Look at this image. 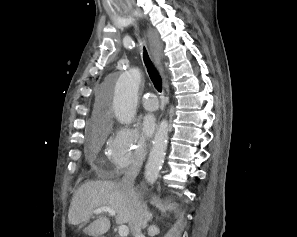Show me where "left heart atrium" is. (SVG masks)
<instances>
[{
  "instance_id": "39dd6f15",
  "label": "left heart atrium",
  "mask_w": 297,
  "mask_h": 237,
  "mask_svg": "<svg viewBox=\"0 0 297 237\" xmlns=\"http://www.w3.org/2000/svg\"><path fill=\"white\" fill-rule=\"evenodd\" d=\"M142 130L145 136H150L155 130V118L151 114H147L141 121Z\"/></svg>"
}]
</instances>
